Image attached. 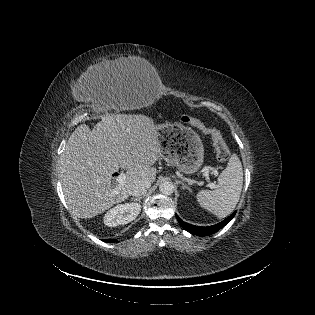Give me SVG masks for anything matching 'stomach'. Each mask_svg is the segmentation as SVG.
<instances>
[{"instance_id": "stomach-1", "label": "stomach", "mask_w": 315, "mask_h": 315, "mask_svg": "<svg viewBox=\"0 0 315 315\" xmlns=\"http://www.w3.org/2000/svg\"><path fill=\"white\" fill-rule=\"evenodd\" d=\"M160 142V156L185 174L199 170L204 160V147L199 135L177 123L155 125Z\"/></svg>"}]
</instances>
